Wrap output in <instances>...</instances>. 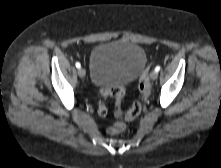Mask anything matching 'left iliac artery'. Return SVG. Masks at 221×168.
Wrapping results in <instances>:
<instances>
[{
  "label": "left iliac artery",
  "instance_id": "left-iliac-artery-1",
  "mask_svg": "<svg viewBox=\"0 0 221 168\" xmlns=\"http://www.w3.org/2000/svg\"><path fill=\"white\" fill-rule=\"evenodd\" d=\"M161 69V67L160 66H156V68H155V71H159Z\"/></svg>",
  "mask_w": 221,
  "mask_h": 168
}]
</instances>
